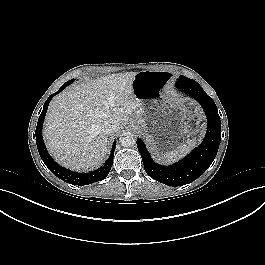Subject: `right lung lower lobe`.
Listing matches in <instances>:
<instances>
[{
  "label": "right lung lower lobe",
  "instance_id": "right-lung-lower-lobe-1",
  "mask_svg": "<svg viewBox=\"0 0 265 265\" xmlns=\"http://www.w3.org/2000/svg\"><path fill=\"white\" fill-rule=\"evenodd\" d=\"M65 85H62L61 88L56 93H53L52 95H50V97L44 103L43 110L39 116L37 127H36L37 148L47 168L58 178L62 179L63 181L67 183L73 184V185H78V186L88 185L94 182L101 181L104 178H106V176L108 175L112 167V164H113V157H114V150L116 147V142H114L111 154L109 158L106 160L105 164L101 168L94 170L92 172H88V173L72 172L68 169L61 167L51 158L43 141L42 126H43V121H44V118H45V115L48 109L49 102L51 101L54 95L58 94L65 88Z\"/></svg>",
  "mask_w": 265,
  "mask_h": 265
}]
</instances>
